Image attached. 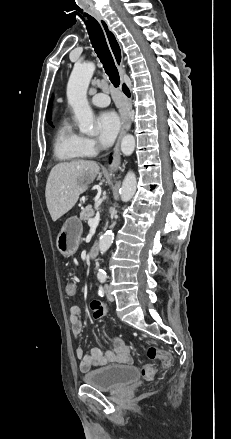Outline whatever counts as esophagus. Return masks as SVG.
<instances>
[{
  "label": "esophagus",
  "mask_w": 231,
  "mask_h": 439,
  "mask_svg": "<svg viewBox=\"0 0 231 439\" xmlns=\"http://www.w3.org/2000/svg\"><path fill=\"white\" fill-rule=\"evenodd\" d=\"M96 20L99 22L105 38L107 40L109 49L111 51V54L113 56L115 65L119 71V74L121 78H123V75L125 73L124 64H123V53L121 49V45L118 42L115 33L110 28L107 21L98 13L93 14ZM131 121L129 115L124 119L122 129L120 131L119 137L117 139V142L113 149V161L111 165L109 166L110 171H116L121 163V152H120V142L123 136L126 134V132L130 129Z\"/></svg>",
  "instance_id": "esophagus-1"
}]
</instances>
